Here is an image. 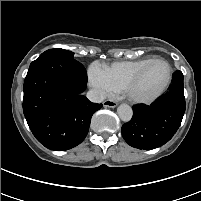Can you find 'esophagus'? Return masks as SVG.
Returning <instances> with one entry per match:
<instances>
[{"instance_id": "34e87169", "label": "esophagus", "mask_w": 201, "mask_h": 201, "mask_svg": "<svg viewBox=\"0 0 201 201\" xmlns=\"http://www.w3.org/2000/svg\"><path fill=\"white\" fill-rule=\"evenodd\" d=\"M103 106L104 107H109V108H114L117 106V102L113 101V100H105L103 102Z\"/></svg>"}]
</instances>
